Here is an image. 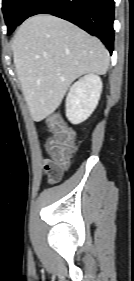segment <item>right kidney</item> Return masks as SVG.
<instances>
[{
    "label": "right kidney",
    "mask_w": 134,
    "mask_h": 281,
    "mask_svg": "<svg viewBox=\"0 0 134 281\" xmlns=\"http://www.w3.org/2000/svg\"><path fill=\"white\" fill-rule=\"evenodd\" d=\"M102 92L101 78L89 73L75 82L66 98V116L73 124L85 121L95 110Z\"/></svg>",
    "instance_id": "ca27d5eb"
}]
</instances>
